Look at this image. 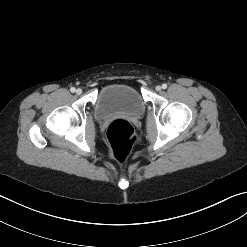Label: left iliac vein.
<instances>
[{
    "instance_id": "obj_1",
    "label": "left iliac vein",
    "mask_w": 247,
    "mask_h": 247,
    "mask_svg": "<svg viewBox=\"0 0 247 247\" xmlns=\"http://www.w3.org/2000/svg\"><path fill=\"white\" fill-rule=\"evenodd\" d=\"M155 89H156V91H160L162 88H161V86L158 85V86H156Z\"/></svg>"
}]
</instances>
